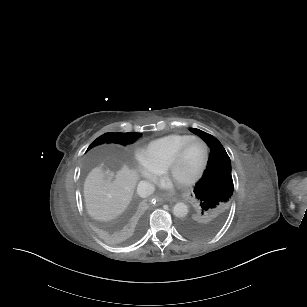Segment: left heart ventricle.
Returning <instances> with one entry per match:
<instances>
[{"label": "left heart ventricle", "instance_id": "b2bd125f", "mask_svg": "<svg viewBox=\"0 0 307 307\" xmlns=\"http://www.w3.org/2000/svg\"><path fill=\"white\" fill-rule=\"evenodd\" d=\"M205 147L200 141H192L186 148L182 160L170 169V182L182 185L202 164Z\"/></svg>", "mask_w": 307, "mask_h": 307}]
</instances>
